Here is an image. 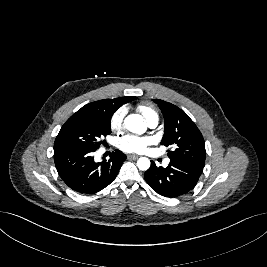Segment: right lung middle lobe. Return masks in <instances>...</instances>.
<instances>
[{
	"label": "right lung middle lobe",
	"instance_id": "dd1d6c3e",
	"mask_svg": "<svg viewBox=\"0 0 267 267\" xmlns=\"http://www.w3.org/2000/svg\"><path fill=\"white\" fill-rule=\"evenodd\" d=\"M111 117L106 113L73 114L57 135L54 149L96 150L102 143L100 137L111 133Z\"/></svg>",
	"mask_w": 267,
	"mask_h": 267
}]
</instances>
